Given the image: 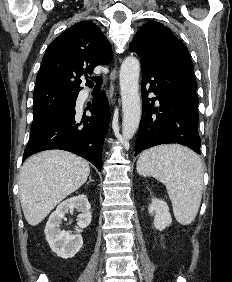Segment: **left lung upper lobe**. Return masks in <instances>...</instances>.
<instances>
[{"label":"left lung upper lobe","instance_id":"1","mask_svg":"<svg viewBox=\"0 0 232 282\" xmlns=\"http://www.w3.org/2000/svg\"><path fill=\"white\" fill-rule=\"evenodd\" d=\"M129 47L140 58L141 67L194 72L188 49L162 23L148 21L142 25Z\"/></svg>","mask_w":232,"mask_h":282}]
</instances>
